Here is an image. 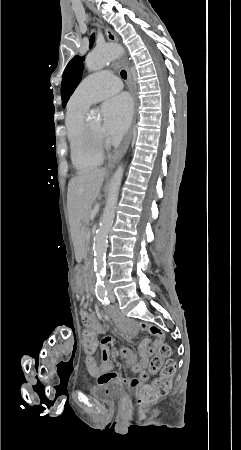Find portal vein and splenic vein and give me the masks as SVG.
<instances>
[{"instance_id": "obj_1", "label": "portal vein and splenic vein", "mask_w": 241, "mask_h": 450, "mask_svg": "<svg viewBox=\"0 0 241 450\" xmlns=\"http://www.w3.org/2000/svg\"><path fill=\"white\" fill-rule=\"evenodd\" d=\"M87 233H88V236H91V233L89 231Z\"/></svg>"}]
</instances>
